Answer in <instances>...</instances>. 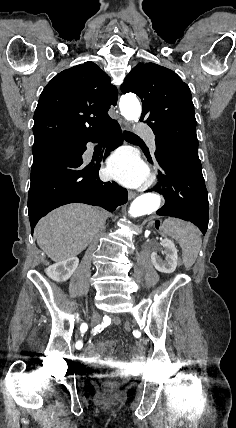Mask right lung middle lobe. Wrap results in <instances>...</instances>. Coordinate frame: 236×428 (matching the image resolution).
Returning <instances> with one entry per match:
<instances>
[{"label":"right lung middle lobe","mask_w":236,"mask_h":428,"mask_svg":"<svg viewBox=\"0 0 236 428\" xmlns=\"http://www.w3.org/2000/svg\"><path fill=\"white\" fill-rule=\"evenodd\" d=\"M72 143L70 140L60 139L42 142L33 145V162L52 154H70Z\"/></svg>","instance_id":"obj_1"}]
</instances>
